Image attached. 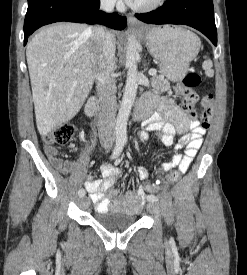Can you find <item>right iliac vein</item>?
<instances>
[{
    "label": "right iliac vein",
    "mask_w": 247,
    "mask_h": 275,
    "mask_svg": "<svg viewBox=\"0 0 247 275\" xmlns=\"http://www.w3.org/2000/svg\"><path fill=\"white\" fill-rule=\"evenodd\" d=\"M89 203H90V200L87 197L83 196V197L80 198V205L83 209L88 208Z\"/></svg>",
    "instance_id": "right-iliac-vein-1"
}]
</instances>
